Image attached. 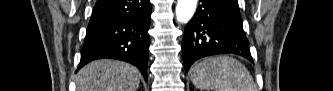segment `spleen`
Returning <instances> with one entry per match:
<instances>
[{
  "label": "spleen",
  "mask_w": 333,
  "mask_h": 91,
  "mask_svg": "<svg viewBox=\"0 0 333 91\" xmlns=\"http://www.w3.org/2000/svg\"><path fill=\"white\" fill-rule=\"evenodd\" d=\"M190 79L201 91H257L247 68L237 59L226 55L196 64L190 70Z\"/></svg>",
  "instance_id": "3e777b00"
}]
</instances>
